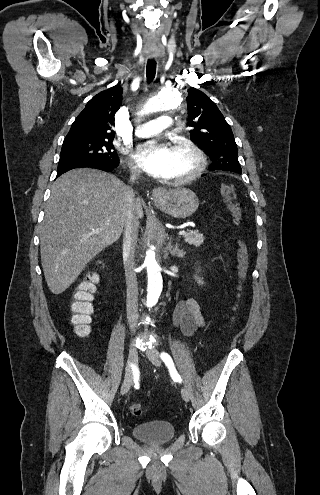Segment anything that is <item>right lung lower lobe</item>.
<instances>
[{"label": "right lung lower lobe", "mask_w": 320, "mask_h": 495, "mask_svg": "<svg viewBox=\"0 0 320 495\" xmlns=\"http://www.w3.org/2000/svg\"><path fill=\"white\" fill-rule=\"evenodd\" d=\"M119 165L118 163L115 164H110V163H99V162H92V163H84V164H79L76 166H71L66 169L58 170L57 171V177L63 174L66 171H69L71 169L75 168H82V167H90V168H96L104 171H112L114 168H116Z\"/></svg>", "instance_id": "obj_1"}]
</instances>
